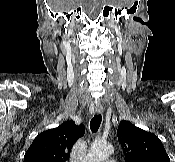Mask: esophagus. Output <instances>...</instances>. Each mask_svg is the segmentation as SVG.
<instances>
[{
    "label": "esophagus",
    "mask_w": 175,
    "mask_h": 162,
    "mask_svg": "<svg viewBox=\"0 0 175 162\" xmlns=\"http://www.w3.org/2000/svg\"><path fill=\"white\" fill-rule=\"evenodd\" d=\"M94 113L95 114H102L103 113V108L102 107H96L95 110H94Z\"/></svg>",
    "instance_id": "obj_1"
}]
</instances>
